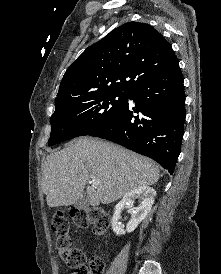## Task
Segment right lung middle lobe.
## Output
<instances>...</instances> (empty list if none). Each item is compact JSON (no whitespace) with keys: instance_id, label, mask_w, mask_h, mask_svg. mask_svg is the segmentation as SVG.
I'll list each match as a JSON object with an SVG mask.
<instances>
[{"instance_id":"obj_1","label":"right lung middle lobe","mask_w":221,"mask_h":274,"mask_svg":"<svg viewBox=\"0 0 221 274\" xmlns=\"http://www.w3.org/2000/svg\"><path fill=\"white\" fill-rule=\"evenodd\" d=\"M128 98L129 94L109 93L56 103L48 144L91 134L110 122Z\"/></svg>"}]
</instances>
